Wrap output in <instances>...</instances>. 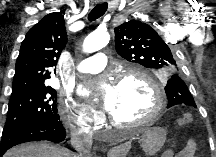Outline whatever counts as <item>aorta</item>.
Masks as SVG:
<instances>
[{"instance_id":"1","label":"aorta","mask_w":216,"mask_h":157,"mask_svg":"<svg viewBox=\"0 0 216 157\" xmlns=\"http://www.w3.org/2000/svg\"><path fill=\"white\" fill-rule=\"evenodd\" d=\"M109 42V34L106 30H97L89 34L83 43L85 53H93L105 47Z\"/></svg>"}]
</instances>
